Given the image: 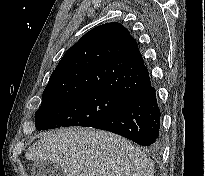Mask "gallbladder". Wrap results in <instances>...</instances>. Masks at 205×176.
<instances>
[{"label":"gallbladder","instance_id":"obj_1","mask_svg":"<svg viewBox=\"0 0 205 176\" xmlns=\"http://www.w3.org/2000/svg\"><path fill=\"white\" fill-rule=\"evenodd\" d=\"M31 176H65L62 167L51 161L35 162L31 166Z\"/></svg>","mask_w":205,"mask_h":176}]
</instances>
